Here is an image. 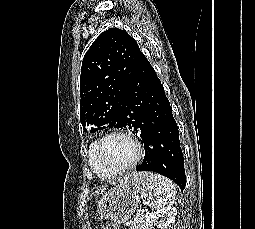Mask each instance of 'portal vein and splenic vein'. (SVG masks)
<instances>
[{
	"mask_svg": "<svg viewBox=\"0 0 255 229\" xmlns=\"http://www.w3.org/2000/svg\"><path fill=\"white\" fill-rule=\"evenodd\" d=\"M137 212H138V213H140L141 215H143V214H144V211H143V210H141V209H139Z\"/></svg>",
	"mask_w": 255,
	"mask_h": 229,
	"instance_id": "18ae733b",
	"label": "portal vein and splenic vein"
}]
</instances>
